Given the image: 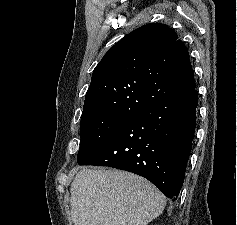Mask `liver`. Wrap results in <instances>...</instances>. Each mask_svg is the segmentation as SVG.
Masks as SVG:
<instances>
[{"label":"liver","mask_w":237,"mask_h":225,"mask_svg":"<svg viewBox=\"0 0 237 225\" xmlns=\"http://www.w3.org/2000/svg\"><path fill=\"white\" fill-rule=\"evenodd\" d=\"M165 205L153 184L126 171L84 168L71 184L74 225H147Z\"/></svg>","instance_id":"obj_1"}]
</instances>
